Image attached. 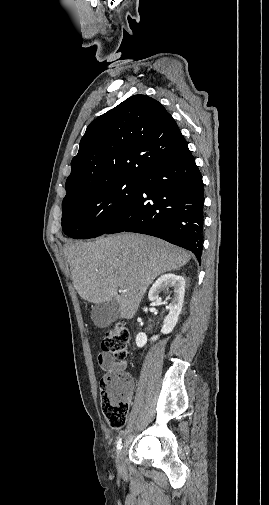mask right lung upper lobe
I'll return each instance as SVG.
<instances>
[{
	"label": "right lung upper lobe",
	"instance_id": "1",
	"mask_svg": "<svg viewBox=\"0 0 269 505\" xmlns=\"http://www.w3.org/2000/svg\"><path fill=\"white\" fill-rule=\"evenodd\" d=\"M187 143L176 122L157 100L129 97L89 124L72 159L66 200L91 187L137 179Z\"/></svg>",
	"mask_w": 269,
	"mask_h": 505
}]
</instances>
